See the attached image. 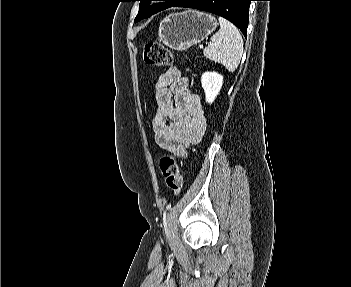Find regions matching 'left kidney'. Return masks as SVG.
<instances>
[{"instance_id": "1", "label": "left kidney", "mask_w": 351, "mask_h": 287, "mask_svg": "<svg viewBox=\"0 0 351 287\" xmlns=\"http://www.w3.org/2000/svg\"><path fill=\"white\" fill-rule=\"evenodd\" d=\"M202 87L205 92L206 102L213 103L223 84V76L217 72H205L201 77Z\"/></svg>"}]
</instances>
